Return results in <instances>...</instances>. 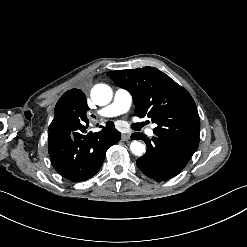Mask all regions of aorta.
Returning <instances> with one entry per match:
<instances>
[{"label":"aorta","instance_id":"762f6f07","mask_svg":"<svg viewBox=\"0 0 247 247\" xmlns=\"http://www.w3.org/2000/svg\"><path fill=\"white\" fill-rule=\"evenodd\" d=\"M91 99L96 105H107L112 99V89L106 84H97L91 90ZM131 152L141 156L146 151L145 145L134 140L130 145Z\"/></svg>","mask_w":247,"mask_h":247}]
</instances>
